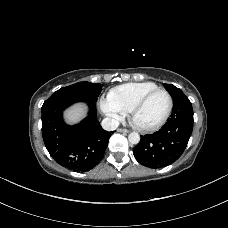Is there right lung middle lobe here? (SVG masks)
Returning a JSON list of instances; mask_svg holds the SVG:
<instances>
[{
  "label": "right lung middle lobe",
  "instance_id": "right-lung-middle-lobe-1",
  "mask_svg": "<svg viewBox=\"0 0 228 228\" xmlns=\"http://www.w3.org/2000/svg\"><path fill=\"white\" fill-rule=\"evenodd\" d=\"M102 86L103 85L99 83L78 82L76 84L63 87L57 90L54 94L62 96H76L95 103L101 93Z\"/></svg>",
  "mask_w": 228,
  "mask_h": 228
}]
</instances>
